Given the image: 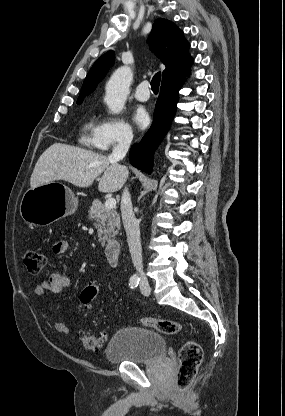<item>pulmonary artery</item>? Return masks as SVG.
Wrapping results in <instances>:
<instances>
[{
  "mask_svg": "<svg viewBox=\"0 0 285 416\" xmlns=\"http://www.w3.org/2000/svg\"><path fill=\"white\" fill-rule=\"evenodd\" d=\"M149 83L148 81L144 80L142 81L135 90V97L140 100V101H146L149 99V95L147 87H148Z\"/></svg>",
  "mask_w": 285,
  "mask_h": 416,
  "instance_id": "1",
  "label": "pulmonary artery"
}]
</instances>
